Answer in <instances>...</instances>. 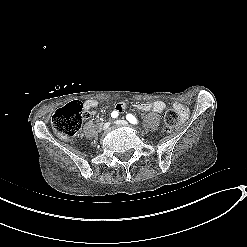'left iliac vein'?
Instances as JSON below:
<instances>
[{
  "label": "left iliac vein",
  "instance_id": "4c4485c4",
  "mask_svg": "<svg viewBox=\"0 0 247 247\" xmlns=\"http://www.w3.org/2000/svg\"><path fill=\"white\" fill-rule=\"evenodd\" d=\"M115 123L118 125H128L127 121L120 119L116 120Z\"/></svg>",
  "mask_w": 247,
  "mask_h": 247
}]
</instances>
